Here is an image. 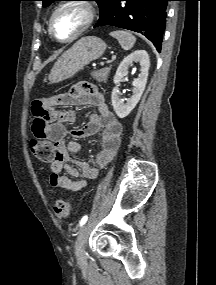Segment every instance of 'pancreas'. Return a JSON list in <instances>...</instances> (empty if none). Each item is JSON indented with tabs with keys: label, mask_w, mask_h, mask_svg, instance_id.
Instances as JSON below:
<instances>
[{
	"label": "pancreas",
	"mask_w": 216,
	"mask_h": 285,
	"mask_svg": "<svg viewBox=\"0 0 216 285\" xmlns=\"http://www.w3.org/2000/svg\"><path fill=\"white\" fill-rule=\"evenodd\" d=\"M111 66L105 67L103 69H100L98 71H93L91 73V76L98 82L105 83L107 81L108 75L110 73Z\"/></svg>",
	"instance_id": "1"
}]
</instances>
